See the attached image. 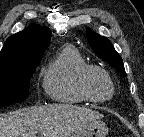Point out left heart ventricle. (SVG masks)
<instances>
[{
    "instance_id": "obj_1",
    "label": "left heart ventricle",
    "mask_w": 144,
    "mask_h": 137,
    "mask_svg": "<svg viewBox=\"0 0 144 137\" xmlns=\"http://www.w3.org/2000/svg\"><path fill=\"white\" fill-rule=\"evenodd\" d=\"M89 86L97 97H107L111 93V86L107 79L99 73H93L90 77Z\"/></svg>"
}]
</instances>
